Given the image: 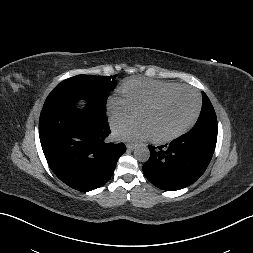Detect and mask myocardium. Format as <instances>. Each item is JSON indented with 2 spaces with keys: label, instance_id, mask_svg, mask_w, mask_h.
<instances>
[{
  "label": "myocardium",
  "instance_id": "f54148a6",
  "mask_svg": "<svg viewBox=\"0 0 253 253\" xmlns=\"http://www.w3.org/2000/svg\"><path fill=\"white\" fill-rule=\"evenodd\" d=\"M179 91H188L190 93H192L195 98H196V109L195 112L193 114V116L191 117V119L184 125L182 126L179 130H177L176 132L168 135V136H164V137H152L151 140L154 143L157 144H164V143H169L171 141H174L175 139L179 138L180 136H182L184 133H186L196 122L200 111H201V98L199 96V94L197 93V91H195L193 88L185 86V85H178L172 89L166 90L160 94H158L157 96H155L154 98H152L150 101H148L147 103H145L144 105H142L138 110H137V116L140 115V113H142L143 111L150 109L154 106H156L157 104H159L161 101H163L165 98H167L168 96L179 92Z\"/></svg>",
  "mask_w": 253,
  "mask_h": 253
}]
</instances>
